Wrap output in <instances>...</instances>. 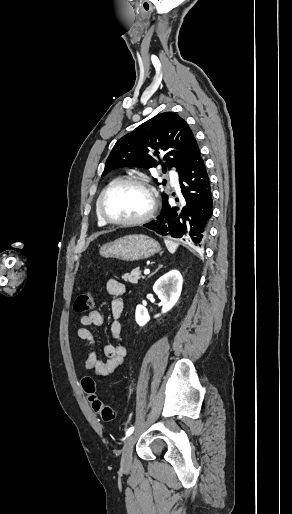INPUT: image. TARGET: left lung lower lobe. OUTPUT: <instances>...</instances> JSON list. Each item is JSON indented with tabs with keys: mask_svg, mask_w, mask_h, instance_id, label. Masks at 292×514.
<instances>
[{
	"mask_svg": "<svg viewBox=\"0 0 292 514\" xmlns=\"http://www.w3.org/2000/svg\"><path fill=\"white\" fill-rule=\"evenodd\" d=\"M182 197L177 205L163 198V206L156 221L144 224L161 235L180 238L201 247L207 239L213 213V198L209 176L196 140L193 141L187 161L179 173Z\"/></svg>",
	"mask_w": 292,
	"mask_h": 514,
	"instance_id": "obj_1",
	"label": "left lung lower lobe"
}]
</instances>
